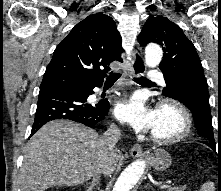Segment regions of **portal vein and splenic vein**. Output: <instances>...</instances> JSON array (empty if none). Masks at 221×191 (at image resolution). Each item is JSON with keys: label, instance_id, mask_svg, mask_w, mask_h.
I'll list each match as a JSON object with an SVG mask.
<instances>
[{"label": "portal vein and splenic vein", "instance_id": "obj_1", "mask_svg": "<svg viewBox=\"0 0 221 191\" xmlns=\"http://www.w3.org/2000/svg\"><path fill=\"white\" fill-rule=\"evenodd\" d=\"M170 187V182H165L164 184H161V188H167Z\"/></svg>", "mask_w": 221, "mask_h": 191}]
</instances>
